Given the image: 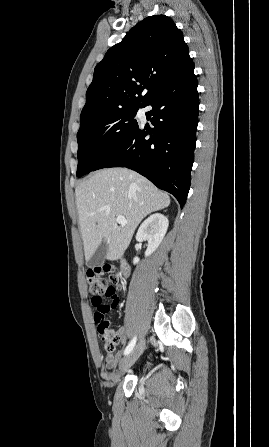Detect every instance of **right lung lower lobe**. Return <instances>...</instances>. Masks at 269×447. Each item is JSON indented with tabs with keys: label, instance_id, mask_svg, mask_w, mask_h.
<instances>
[{
	"label": "right lung lower lobe",
	"instance_id": "right-lung-lower-lobe-1",
	"mask_svg": "<svg viewBox=\"0 0 269 447\" xmlns=\"http://www.w3.org/2000/svg\"><path fill=\"white\" fill-rule=\"evenodd\" d=\"M148 105L152 110L146 117L154 128L145 131L138 127L93 171L130 168L173 194L182 208L191 182L199 113L193 61L174 80L152 93L144 107Z\"/></svg>",
	"mask_w": 269,
	"mask_h": 447
}]
</instances>
